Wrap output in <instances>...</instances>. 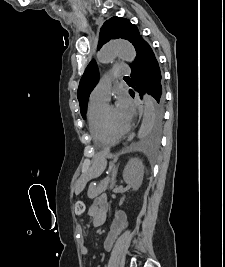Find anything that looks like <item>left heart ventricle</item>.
<instances>
[{
    "mask_svg": "<svg viewBox=\"0 0 225 267\" xmlns=\"http://www.w3.org/2000/svg\"><path fill=\"white\" fill-rule=\"evenodd\" d=\"M107 120L110 127L117 132L123 131L127 128V126L120 119L117 110L114 107L110 108L107 111Z\"/></svg>",
    "mask_w": 225,
    "mask_h": 267,
    "instance_id": "left-heart-ventricle-1",
    "label": "left heart ventricle"
}]
</instances>
